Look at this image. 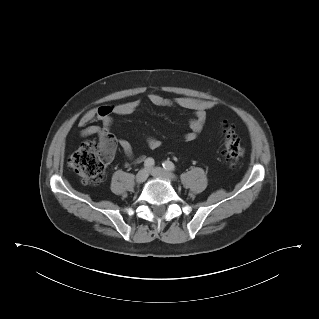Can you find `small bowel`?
<instances>
[{"instance_id": "small-bowel-1", "label": "small bowel", "mask_w": 319, "mask_h": 319, "mask_svg": "<svg viewBox=\"0 0 319 319\" xmlns=\"http://www.w3.org/2000/svg\"><path fill=\"white\" fill-rule=\"evenodd\" d=\"M148 102L156 106H178L193 112L194 116L189 120V130L184 134L187 142L196 140L198 135L204 129L207 123V112L217 106V102L192 97H177L169 99L158 93H150L147 96ZM142 104L140 99L131 101L107 104L100 107L91 108L86 111L79 120L82 127L81 137L98 136L103 139L110 135L115 116L128 115L137 110ZM95 121H101L102 126L93 125ZM147 143L151 149H158L161 141L154 135L146 136ZM118 145L124 152L125 156L133 161L139 162L143 160L142 156H136L131 143L126 139H119Z\"/></svg>"}]
</instances>
